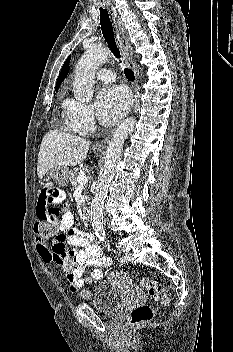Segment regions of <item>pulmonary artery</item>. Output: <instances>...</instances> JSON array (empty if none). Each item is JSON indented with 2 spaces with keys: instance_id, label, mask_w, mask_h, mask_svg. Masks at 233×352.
<instances>
[{
  "instance_id": "1",
  "label": "pulmonary artery",
  "mask_w": 233,
  "mask_h": 352,
  "mask_svg": "<svg viewBox=\"0 0 233 352\" xmlns=\"http://www.w3.org/2000/svg\"><path fill=\"white\" fill-rule=\"evenodd\" d=\"M96 77L104 82H113L115 80V75L112 71L101 69L96 72Z\"/></svg>"
}]
</instances>
